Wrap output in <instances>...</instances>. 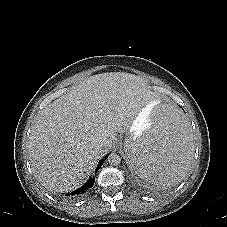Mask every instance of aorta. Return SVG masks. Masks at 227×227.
I'll list each match as a JSON object with an SVG mask.
<instances>
[{"instance_id":"aorta-1","label":"aorta","mask_w":227,"mask_h":227,"mask_svg":"<svg viewBox=\"0 0 227 227\" xmlns=\"http://www.w3.org/2000/svg\"><path fill=\"white\" fill-rule=\"evenodd\" d=\"M108 162L110 165L117 166L121 162V157L117 153H111L108 156Z\"/></svg>"}]
</instances>
